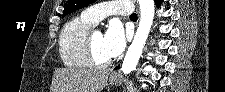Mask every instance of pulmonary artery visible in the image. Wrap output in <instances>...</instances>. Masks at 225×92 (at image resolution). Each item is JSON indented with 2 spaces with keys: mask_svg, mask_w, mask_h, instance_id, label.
Listing matches in <instances>:
<instances>
[{
  "mask_svg": "<svg viewBox=\"0 0 225 92\" xmlns=\"http://www.w3.org/2000/svg\"><path fill=\"white\" fill-rule=\"evenodd\" d=\"M131 4L128 1L101 2L85 9L82 17L92 24H98L105 16L110 14H130Z\"/></svg>",
  "mask_w": 225,
  "mask_h": 92,
  "instance_id": "obj_1",
  "label": "pulmonary artery"
}]
</instances>
